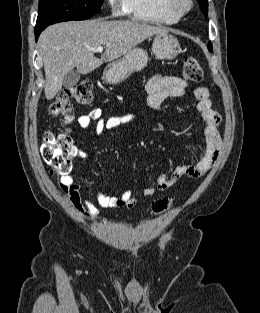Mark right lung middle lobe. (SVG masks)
Masks as SVG:
<instances>
[{
    "mask_svg": "<svg viewBox=\"0 0 260 313\" xmlns=\"http://www.w3.org/2000/svg\"><path fill=\"white\" fill-rule=\"evenodd\" d=\"M103 0H39L37 25L84 20L101 10Z\"/></svg>",
    "mask_w": 260,
    "mask_h": 313,
    "instance_id": "obj_1",
    "label": "right lung middle lobe"
}]
</instances>
